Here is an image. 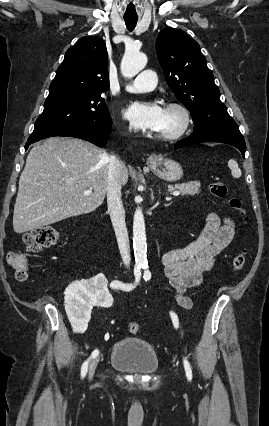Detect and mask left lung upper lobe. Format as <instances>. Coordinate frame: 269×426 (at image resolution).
Returning <instances> with one entry per match:
<instances>
[{"mask_svg": "<svg viewBox=\"0 0 269 426\" xmlns=\"http://www.w3.org/2000/svg\"><path fill=\"white\" fill-rule=\"evenodd\" d=\"M156 51L167 84L190 111L194 123L205 121L212 113L227 112L195 40L179 29L165 28L157 37Z\"/></svg>", "mask_w": 269, "mask_h": 426, "instance_id": "left-lung-upper-lobe-1", "label": "left lung upper lobe"}]
</instances>
